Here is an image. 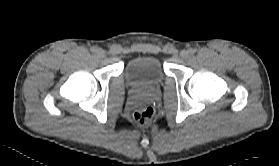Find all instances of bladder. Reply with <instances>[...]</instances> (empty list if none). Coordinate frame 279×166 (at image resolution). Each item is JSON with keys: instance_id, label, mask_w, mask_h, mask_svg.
<instances>
[{"instance_id": "31cf9c89", "label": "bladder", "mask_w": 279, "mask_h": 166, "mask_svg": "<svg viewBox=\"0 0 279 166\" xmlns=\"http://www.w3.org/2000/svg\"><path fill=\"white\" fill-rule=\"evenodd\" d=\"M123 73L128 83L141 91H155L165 79L161 62L151 56L129 60L124 66Z\"/></svg>"}]
</instances>
